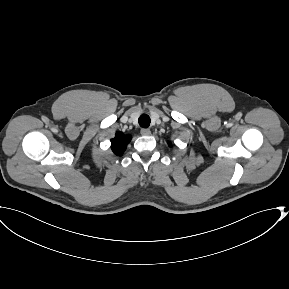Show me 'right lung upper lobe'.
Segmentation results:
<instances>
[{
    "instance_id": "obj_1",
    "label": "right lung upper lobe",
    "mask_w": 289,
    "mask_h": 289,
    "mask_svg": "<svg viewBox=\"0 0 289 289\" xmlns=\"http://www.w3.org/2000/svg\"><path fill=\"white\" fill-rule=\"evenodd\" d=\"M131 136L124 135L121 132L116 133L115 137L111 140V149L113 153L120 156L126 150V145L130 142Z\"/></svg>"
}]
</instances>
